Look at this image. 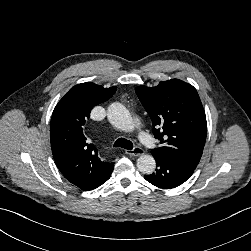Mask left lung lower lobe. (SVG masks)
<instances>
[{"mask_svg": "<svg viewBox=\"0 0 251 251\" xmlns=\"http://www.w3.org/2000/svg\"><path fill=\"white\" fill-rule=\"evenodd\" d=\"M151 153L156 160L157 168L154 173L144 175V178L156 187L163 189L175 188L184 183L195 170L182 162L164 157L152 151Z\"/></svg>", "mask_w": 251, "mask_h": 251, "instance_id": "0a47b994", "label": "left lung lower lobe"}]
</instances>
